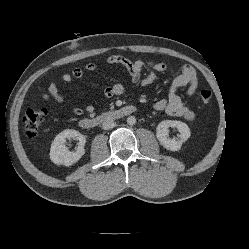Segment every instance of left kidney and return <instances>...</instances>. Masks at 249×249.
Masks as SVG:
<instances>
[{
	"label": "left kidney",
	"mask_w": 249,
	"mask_h": 249,
	"mask_svg": "<svg viewBox=\"0 0 249 249\" xmlns=\"http://www.w3.org/2000/svg\"><path fill=\"white\" fill-rule=\"evenodd\" d=\"M169 127H176L180 132L179 139L169 137ZM191 132L188 125L181 121L165 120L157 126L156 137L160 144L170 151H178L182 144L190 137Z\"/></svg>",
	"instance_id": "left-kidney-1"
}]
</instances>
